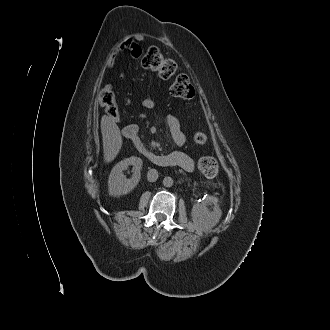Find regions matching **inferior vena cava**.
I'll return each mask as SVG.
<instances>
[{
	"mask_svg": "<svg viewBox=\"0 0 330 330\" xmlns=\"http://www.w3.org/2000/svg\"><path fill=\"white\" fill-rule=\"evenodd\" d=\"M158 178V171L156 169H150L147 173V179L150 182H155Z\"/></svg>",
	"mask_w": 330,
	"mask_h": 330,
	"instance_id": "602c4592",
	"label": "inferior vena cava"
}]
</instances>
